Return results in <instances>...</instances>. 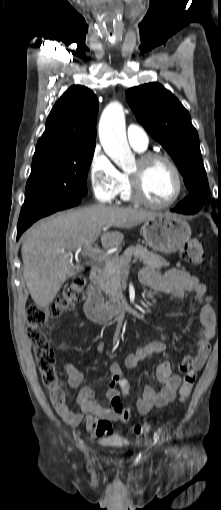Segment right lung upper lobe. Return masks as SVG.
Segmentation results:
<instances>
[{
    "label": "right lung upper lobe",
    "mask_w": 221,
    "mask_h": 510,
    "mask_svg": "<svg viewBox=\"0 0 221 510\" xmlns=\"http://www.w3.org/2000/svg\"><path fill=\"white\" fill-rule=\"evenodd\" d=\"M98 100L88 88L71 86L56 102L33 158L95 147Z\"/></svg>",
    "instance_id": "obj_1"
}]
</instances>
